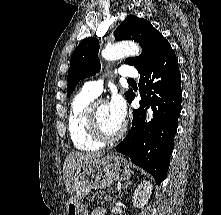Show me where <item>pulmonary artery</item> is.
<instances>
[{
	"label": "pulmonary artery",
	"mask_w": 221,
	"mask_h": 215,
	"mask_svg": "<svg viewBox=\"0 0 221 215\" xmlns=\"http://www.w3.org/2000/svg\"><path fill=\"white\" fill-rule=\"evenodd\" d=\"M117 74L124 78L133 79L138 76L136 68L129 65H122L117 69ZM103 83L102 80L89 81L84 85V91L97 97L102 92Z\"/></svg>",
	"instance_id": "1"
}]
</instances>
